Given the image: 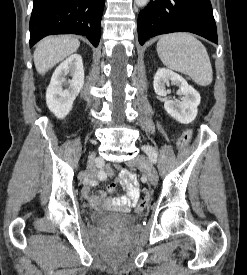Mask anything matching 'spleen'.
I'll return each mask as SVG.
<instances>
[{
	"label": "spleen",
	"instance_id": "obj_1",
	"mask_svg": "<svg viewBox=\"0 0 247 275\" xmlns=\"http://www.w3.org/2000/svg\"><path fill=\"white\" fill-rule=\"evenodd\" d=\"M157 53L166 67L189 75L196 84L207 86L212 82L207 50L193 35L185 32L164 35L157 43Z\"/></svg>",
	"mask_w": 247,
	"mask_h": 275
}]
</instances>
